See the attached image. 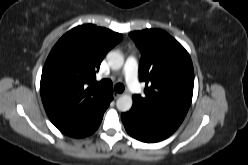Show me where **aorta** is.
Masks as SVG:
<instances>
[{
	"instance_id": "1",
	"label": "aorta",
	"mask_w": 248,
	"mask_h": 165,
	"mask_svg": "<svg viewBox=\"0 0 248 165\" xmlns=\"http://www.w3.org/2000/svg\"><path fill=\"white\" fill-rule=\"evenodd\" d=\"M107 61L113 70H119L124 64V57L118 51H110L107 54ZM133 104L132 96L125 94L118 98L116 102L117 109L121 112H127Z\"/></svg>"
}]
</instances>
